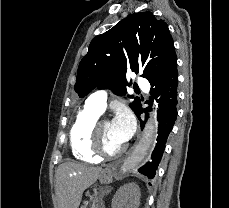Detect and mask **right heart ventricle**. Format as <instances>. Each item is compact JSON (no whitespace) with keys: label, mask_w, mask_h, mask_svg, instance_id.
<instances>
[{"label":"right heart ventricle","mask_w":229,"mask_h":208,"mask_svg":"<svg viewBox=\"0 0 229 208\" xmlns=\"http://www.w3.org/2000/svg\"><path fill=\"white\" fill-rule=\"evenodd\" d=\"M100 114L96 111L84 107L76 117L70 132L69 145L73 158L81 163L98 162L100 158H96V153H91V144L94 140L91 136V128Z\"/></svg>","instance_id":"1"}]
</instances>
